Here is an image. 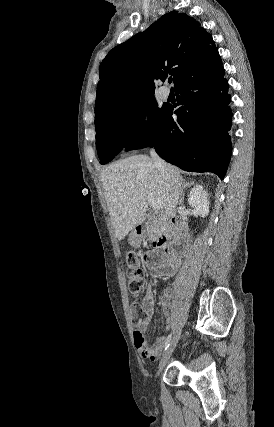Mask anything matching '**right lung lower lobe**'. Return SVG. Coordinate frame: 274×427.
Listing matches in <instances>:
<instances>
[{
  "mask_svg": "<svg viewBox=\"0 0 274 427\" xmlns=\"http://www.w3.org/2000/svg\"><path fill=\"white\" fill-rule=\"evenodd\" d=\"M224 74L221 63L188 76L174 88L177 104L167 106L147 136L126 150L153 146L163 159L183 170L213 172L223 179L231 157L232 120ZM176 106L180 107L174 120Z\"/></svg>",
  "mask_w": 274,
  "mask_h": 427,
  "instance_id": "right-lung-lower-lobe-1",
  "label": "right lung lower lobe"
}]
</instances>
